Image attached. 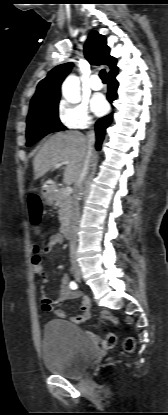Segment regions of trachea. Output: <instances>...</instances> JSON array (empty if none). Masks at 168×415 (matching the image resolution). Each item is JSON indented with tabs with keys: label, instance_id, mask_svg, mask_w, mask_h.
<instances>
[{
	"label": "trachea",
	"instance_id": "1",
	"mask_svg": "<svg viewBox=\"0 0 168 415\" xmlns=\"http://www.w3.org/2000/svg\"><path fill=\"white\" fill-rule=\"evenodd\" d=\"M100 78L102 79L103 82H107L108 81V77L106 74V71L104 69H102L99 73Z\"/></svg>",
	"mask_w": 168,
	"mask_h": 415
}]
</instances>
